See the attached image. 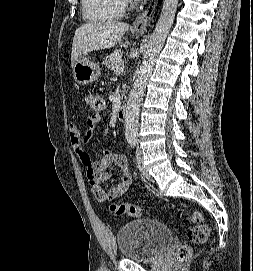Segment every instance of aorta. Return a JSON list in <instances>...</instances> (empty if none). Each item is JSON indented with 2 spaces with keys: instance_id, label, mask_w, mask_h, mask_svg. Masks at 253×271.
<instances>
[{
  "instance_id": "obj_1",
  "label": "aorta",
  "mask_w": 253,
  "mask_h": 271,
  "mask_svg": "<svg viewBox=\"0 0 253 271\" xmlns=\"http://www.w3.org/2000/svg\"><path fill=\"white\" fill-rule=\"evenodd\" d=\"M178 0H164L161 14L151 35L140 70L130 91L125 113V137L127 141L138 138L139 109L147 81L153 71L155 59L161 51L172 27Z\"/></svg>"
}]
</instances>
